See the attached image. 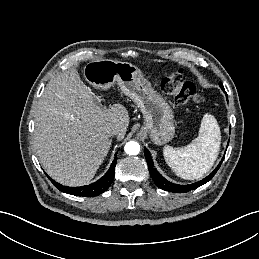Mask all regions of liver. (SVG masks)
<instances>
[{
    "label": "liver",
    "instance_id": "liver-1",
    "mask_svg": "<svg viewBox=\"0 0 259 259\" xmlns=\"http://www.w3.org/2000/svg\"><path fill=\"white\" fill-rule=\"evenodd\" d=\"M34 117L40 163L50 177L67 186L89 183L110 150L109 129L118 127L121 140L129 125L127 109L121 104L101 108L76 69L47 84Z\"/></svg>",
    "mask_w": 259,
    "mask_h": 259
}]
</instances>
